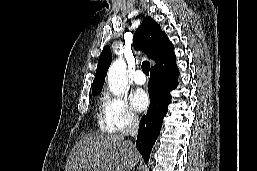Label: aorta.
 Here are the masks:
<instances>
[{
  "instance_id": "1",
  "label": "aorta",
  "mask_w": 257,
  "mask_h": 171,
  "mask_svg": "<svg viewBox=\"0 0 257 171\" xmlns=\"http://www.w3.org/2000/svg\"><path fill=\"white\" fill-rule=\"evenodd\" d=\"M126 64L119 58L114 61L107 73L108 86L111 93L115 96H120L124 93L127 86V79L125 76Z\"/></svg>"
}]
</instances>
